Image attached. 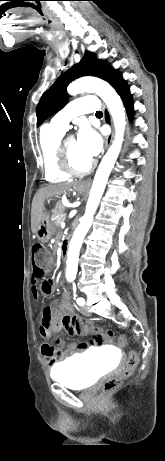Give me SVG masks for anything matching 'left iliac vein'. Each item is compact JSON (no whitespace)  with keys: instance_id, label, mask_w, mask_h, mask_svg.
I'll return each mask as SVG.
<instances>
[{"instance_id":"left-iliac-vein-1","label":"left iliac vein","mask_w":165,"mask_h":461,"mask_svg":"<svg viewBox=\"0 0 165 461\" xmlns=\"http://www.w3.org/2000/svg\"><path fill=\"white\" fill-rule=\"evenodd\" d=\"M81 313H82L83 315H85V316H89V315H90V312H89L87 306H83V307L81 308Z\"/></svg>"}]
</instances>
